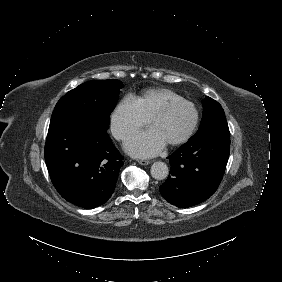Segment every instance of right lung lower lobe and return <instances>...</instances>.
Wrapping results in <instances>:
<instances>
[{"label": "right lung lower lobe", "mask_w": 282, "mask_h": 282, "mask_svg": "<svg viewBox=\"0 0 282 282\" xmlns=\"http://www.w3.org/2000/svg\"><path fill=\"white\" fill-rule=\"evenodd\" d=\"M122 160L96 121L72 114L50 123L45 161L54 187L67 201L85 209L104 204L114 192Z\"/></svg>", "instance_id": "1"}]
</instances>
